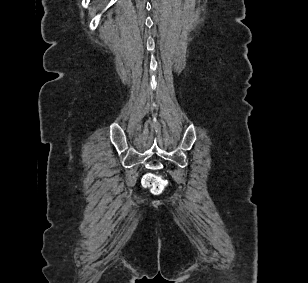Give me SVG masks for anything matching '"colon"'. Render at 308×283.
<instances>
[{
    "mask_svg": "<svg viewBox=\"0 0 308 283\" xmlns=\"http://www.w3.org/2000/svg\"><path fill=\"white\" fill-rule=\"evenodd\" d=\"M142 184L154 194L163 192L165 188V181L159 175L153 173L146 174L142 179Z\"/></svg>",
    "mask_w": 308,
    "mask_h": 283,
    "instance_id": "colon-1",
    "label": "colon"
}]
</instances>
